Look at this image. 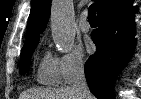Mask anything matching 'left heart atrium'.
<instances>
[{
	"label": "left heart atrium",
	"instance_id": "left-heart-atrium-1",
	"mask_svg": "<svg viewBox=\"0 0 141 99\" xmlns=\"http://www.w3.org/2000/svg\"><path fill=\"white\" fill-rule=\"evenodd\" d=\"M87 49L90 51L92 49V43L91 42H88L87 43Z\"/></svg>",
	"mask_w": 141,
	"mask_h": 99
}]
</instances>
